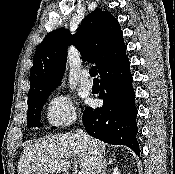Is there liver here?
Returning a JSON list of instances; mask_svg holds the SVG:
<instances>
[{"instance_id":"6515ba94","label":"liver","mask_w":175,"mask_h":174,"mask_svg":"<svg viewBox=\"0 0 175 174\" xmlns=\"http://www.w3.org/2000/svg\"><path fill=\"white\" fill-rule=\"evenodd\" d=\"M90 142L103 154L106 144L89 137ZM76 157L84 174L91 168V152L88 144L77 133H65L47 137L24 148L19 159L18 174H54L71 168L70 157Z\"/></svg>"}]
</instances>
